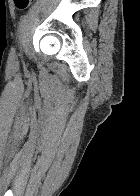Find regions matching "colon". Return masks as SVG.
<instances>
[{"instance_id":"colon-1","label":"colon","mask_w":140,"mask_h":196,"mask_svg":"<svg viewBox=\"0 0 140 196\" xmlns=\"http://www.w3.org/2000/svg\"><path fill=\"white\" fill-rule=\"evenodd\" d=\"M15 1V4L17 5V6H20V5H22L23 3H28L29 2V0H14Z\"/></svg>"}]
</instances>
